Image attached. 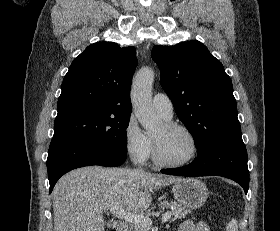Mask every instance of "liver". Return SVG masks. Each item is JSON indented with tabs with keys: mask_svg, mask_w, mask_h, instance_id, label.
I'll use <instances>...</instances> for the list:
<instances>
[{
	"mask_svg": "<svg viewBox=\"0 0 280 231\" xmlns=\"http://www.w3.org/2000/svg\"><path fill=\"white\" fill-rule=\"evenodd\" d=\"M177 179L126 167L73 169L53 189L54 231H104L103 211L111 207L146 211L151 193Z\"/></svg>",
	"mask_w": 280,
	"mask_h": 231,
	"instance_id": "1",
	"label": "liver"
}]
</instances>
